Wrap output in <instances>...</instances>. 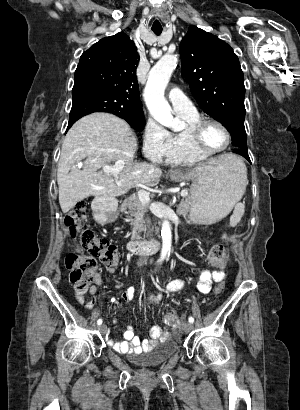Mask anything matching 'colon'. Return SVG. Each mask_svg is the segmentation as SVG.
I'll use <instances>...</instances> for the list:
<instances>
[{
  "label": "colon",
  "instance_id": "obj_1",
  "mask_svg": "<svg viewBox=\"0 0 300 410\" xmlns=\"http://www.w3.org/2000/svg\"><path fill=\"white\" fill-rule=\"evenodd\" d=\"M87 203L81 201L66 214L64 223L73 238L78 237L88 254L70 253L66 256V267L70 271V281L78 289L87 287L97 276V260L106 268H114L119 262L116 246L108 239L96 234L86 226ZM208 260L215 265H223L226 250L222 244L213 245L207 255ZM224 286L218 284L215 292L219 293ZM165 322L170 327L179 324V318L173 312L165 315Z\"/></svg>",
  "mask_w": 300,
  "mask_h": 410
}]
</instances>
